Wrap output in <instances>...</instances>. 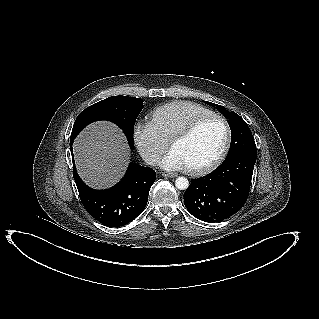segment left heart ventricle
<instances>
[{"mask_svg":"<svg viewBox=\"0 0 319 319\" xmlns=\"http://www.w3.org/2000/svg\"><path fill=\"white\" fill-rule=\"evenodd\" d=\"M225 128L215 119L203 122L191 136L178 142L172 150L185 167H201L210 163L220 152L225 141Z\"/></svg>","mask_w":319,"mask_h":319,"instance_id":"1","label":"left heart ventricle"}]
</instances>
